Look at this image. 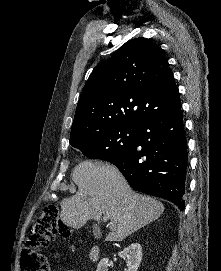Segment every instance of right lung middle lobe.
<instances>
[{
  "instance_id": "1",
  "label": "right lung middle lobe",
  "mask_w": 221,
  "mask_h": 271,
  "mask_svg": "<svg viewBox=\"0 0 221 271\" xmlns=\"http://www.w3.org/2000/svg\"><path fill=\"white\" fill-rule=\"evenodd\" d=\"M138 127L114 126L70 141L90 159L113 163L135 145Z\"/></svg>"
}]
</instances>
